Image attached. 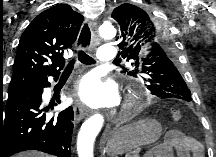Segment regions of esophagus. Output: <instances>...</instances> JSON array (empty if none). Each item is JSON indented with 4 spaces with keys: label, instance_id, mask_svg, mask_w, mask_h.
Wrapping results in <instances>:
<instances>
[{
    "label": "esophagus",
    "instance_id": "obj_1",
    "mask_svg": "<svg viewBox=\"0 0 216 157\" xmlns=\"http://www.w3.org/2000/svg\"><path fill=\"white\" fill-rule=\"evenodd\" d=\"M88 26L89 30H90V40L87 41V43L83 44L82 43V31L85 29V27ZM98 37L97 31L94 28L93 24L91 21L86 20L83 24L82 27L80 29V33L78 35L77 38V47L78 48H90L91 47V43L94 39H96ZM74 117H75V121L79 122L81 119L84 118V116L87 113V108L86 106L78 99L77 96H75L74 98Z\"/></svg>",
    "mask_w": 216,
    "mask_h": 157
}]
</instances>
